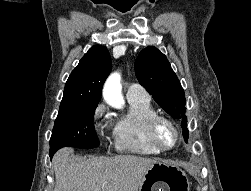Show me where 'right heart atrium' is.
Returning <instances> with one entry per match:
<instances>
[{"instance_id": "1", "label": "right heart atrium", "mask_w": 251, "mask_h": 191, "mask_svg": "<svg viewBox=\"0 0 251 191\" xmlns=\"http://www.w3.org/2000/svg\"><path fill=\"white\" fill-rule=\"evenodd\" d=\"M107 113L108 109L106 105L102 102L97 104V106L94 108L91 116V122H92V127L95 132L100 137L105 136V130H106V119H107Z\"/></svg>"}]
</instances>
